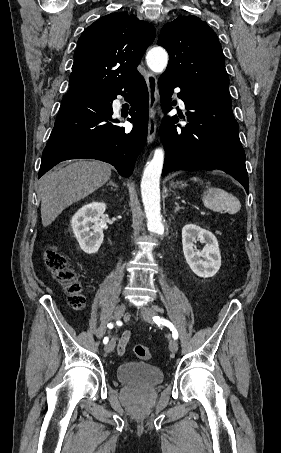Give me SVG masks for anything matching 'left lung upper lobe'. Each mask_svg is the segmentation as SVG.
Wrapping results in <instances>:
<instances>
[{
    "mask_svg": "<svg viewBox=\"0 0 281 453\" xmlns=\"http://www.w3.org/2000/svg\"><path fill=\"white\" fill-rule=\"evenodd\" d=\"M157 44L167 49L165 76L181 89L229 94L225 59L215 32L196 16H179L161 29Z\"/></svg>",
    "mask_w": 281,
    "mask_h": 453,
    "instance_id": "obj_1",
    "label": "left lung upper lobe"
}]
</instances>
